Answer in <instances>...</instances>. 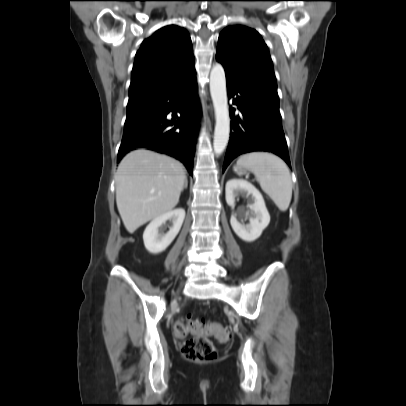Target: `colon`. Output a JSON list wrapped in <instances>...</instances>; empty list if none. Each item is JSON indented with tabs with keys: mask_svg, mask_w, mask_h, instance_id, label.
Masks as SVG:
<instances>
[{
	"mask_svg": "<svg viewBox=\"0 0 406 406\" xmlns=\"http://www.w3.org/2000/svg\"><path fill=\"white\" fill-rule=\"evenodd\" d=\"M175 334L179 338L194 335L185 340L181 346L183 356L194 362H209L217 357L216 349L207 335H214L220 342H226L229 338L227 330L219 323L193 318L178 321L175 325Z\"/></svg>",
	"mask_w": 406,
	"mask_h": 406,
	"instance_id": "obj_1",
	"label": "colon"
}]
</instances>
